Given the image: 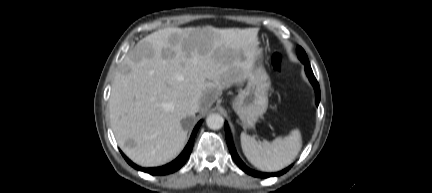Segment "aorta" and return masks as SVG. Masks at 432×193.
Here are the masks:
<instances>
[{"label":"aorta","instance_id":"1","mask_svg":"<svg viewBox=\"0 0 432 193\" xmlns=\"http://www.w3.org/2000/svg\"><path fill=\"white\" fill-rule=\"evenodd\" d=\"M207 126L212 130L221 129L224 124V119L220 114L213 113L206 118Z\"/></svg>","mask_w":432,"mask_h":193}]
</instances>
